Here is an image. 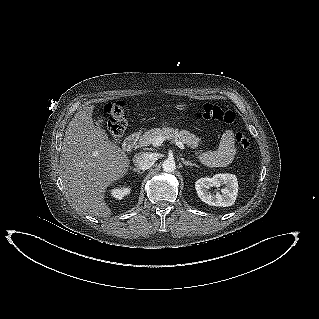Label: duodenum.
<instances>
[{
	"label": "duodenum",
	"mask_w": 319,
	"mask_h": 319,
	"mask_svg": "<svg viewBox=\"0 0 319 319\" xmlns=\"http://www.w3.org/2000/svg\"><path fill=\"white\" fill-rule=\"evenodd\" d=\"M137 139H138V132H133L130 135H128L125 140L122 143V149L125 152H131L137 143Z\"/></svg>",
	"instance_id": "obj_1"
}]
</instances>
